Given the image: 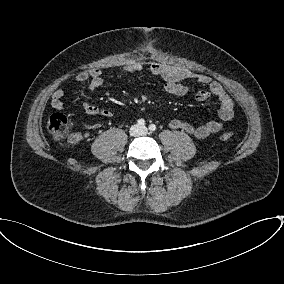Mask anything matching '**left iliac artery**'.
Segmentation results:
<instances>
[{"label": "left iliac artery", "mask_w": 284, "mask_h": 284, "mask_svg": "<svg viewBox=\"0 0 284 284\" xmlns=\"http://www.w3.org/2000/svg\"><path fill=\"white\" fill-rule=\"evenodd\" d=\"M149 130H150L151 132L155 131V130H156V126H155L154 124H150V125H149Z\"/></svg>", "instance_id": "obj_1"}]
</instances>
